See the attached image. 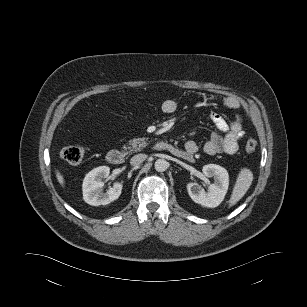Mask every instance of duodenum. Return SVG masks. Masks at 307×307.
Here are the masks:
<instances>
[{"mask_svg":"<svg viewBox=\"0 0 307 307\" xmlns=\"http://www.w3.org/2000/svg\"><path fill=\"white\" fill-rule=\"evenodd\" d=\"M153 148L156 151H167L171 153H175V147L167 142L158 141L153 145ZM106 160L111 165H120L124 161V155L121 151L117 149H111L106 154Z\"/></svg>","mask_w":307,"mask_h":307,"instance_id":"obj_1","label":"duodenum"}]
</instances>
